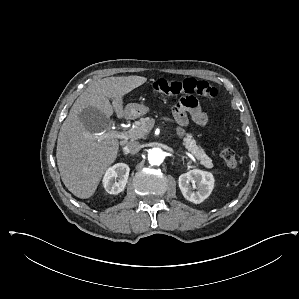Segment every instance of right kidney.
<instances>
[{"label": "right kidney", "instance_id": "obj_1", "mask_svg": "<svg viewBox=\"0 0 299 299\" xmlns=\"http://www.w3.org/2000/svg\"><path fill=\"white\" fill-rule=\"evenodd\" d=\"M130 168L125 163H117L108 168L103 178V186L109 194H118L126 186Z\"/></svg>", "mask_w": 299, "mask_h": 299}]
</instances>
